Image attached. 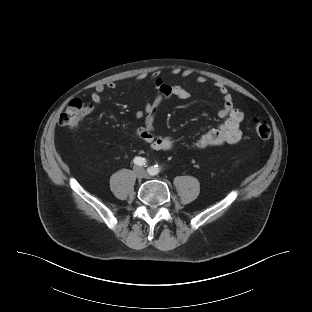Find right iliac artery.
<instances>
[{
  "instance_id": "obj_1",
  "label": "right iliac artery",
  "mask_w": 312,
  "mask_h": 312,
  "mask_svg": "<svg viewBox=\"0 0 312 312\" xmlns=\"http://www.w3.org/2000/svg\"><path fill=\"white\" fill-rule=\"evenodd\" d=\"M133 162L138 166H145L147 161L145 158L138 156L134 158Z\"/></svg>"
}]
</instances>
